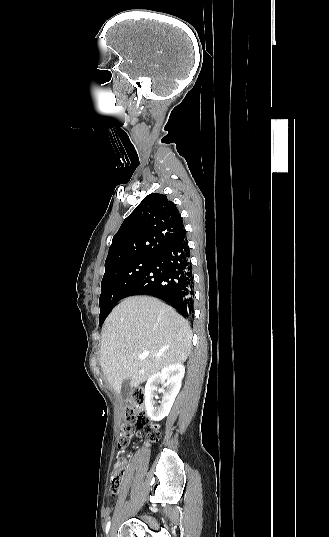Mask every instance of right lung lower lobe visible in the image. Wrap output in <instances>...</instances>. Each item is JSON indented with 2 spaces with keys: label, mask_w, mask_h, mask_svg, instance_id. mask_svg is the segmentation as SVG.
<instances>
[{
  "label": "right lung lower lobe",
  "mask_w": 329,
  "mask_h": 537,
  "mask_svg": "<svg viewBox=\"0 0 329 537\" xmlns=\"http://www.w3.org/2000/svg\"><path fill=\"white\" fill-rule=\"evenodd\" d=\"M160 298L186 318L193 316L194 282L186 233L157 254L125 294Z\"/></svg>",
  "instance_id": "right-lung-lower-lobe-1"
}]
</instances>
